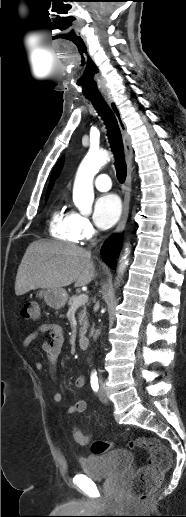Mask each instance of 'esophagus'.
Returning <instances> with one entry per match:
<instances>
[{"instance_id": "obj_1", "label": "esophagus", "mask_w": 186, "mask_h": 517, "mask_svg": "<svg viewBox=\"0 0 186 517\" xmlns=\"http://www.w3.org/2000/svg\"><path fill=\"white\" fill-rule=\"evenodd\" d=\"M103 98L107 102V104L109 105L110 109L112 110L113 114L115 115V117L117 119L120 131H121V135H122L124 153H125V158H126V163H127V177H126L125 185H124L125 194H124V200H123V211H122V216L120 218V221L114 231L115 234H120L126 226V222H127L128 215H129V209H130L133 148H132V144H131V137L128 133L126 124L123 120V117L121 115V112H120L117 104L115 103L113 98H111L109 95L103 94Z\"/></svg>"}]
</instances>
